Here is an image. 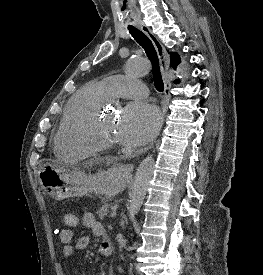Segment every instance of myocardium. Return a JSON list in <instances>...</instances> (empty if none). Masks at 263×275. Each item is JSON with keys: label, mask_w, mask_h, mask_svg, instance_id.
<instances>
[{"label": "myocardium", "mask_w": 263, "mask_h": 275, "mask_svg": "<svg viewBox=\"0 0 263 275\" xmlns=\"http://www.w3.org/2000/svg\"><path fill=\"white\" fill-rule=\"evenodd\" d=\"M103 107H100L89 115L75 132L77 142L96 152H105L118 147V143L104 139L100 134V122L104 114Z\"/></svg>", "instance_id": "1"}]
</instances>
